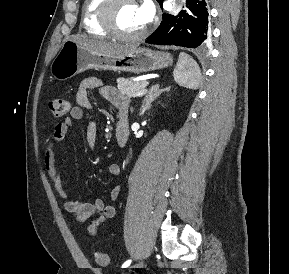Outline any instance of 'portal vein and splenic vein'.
I'll return each mask as SVG.
<instances>
[{"label":"portal vein and splenic vein","mask_w":289,"mask_h":274,"mask_svg":"<svg viewBox=\"0 0 289 274\" xmlns=\"http://www.w3.org/2000/svg\"><path fill=\"white\" fill-rule=\"evenodd\" d=\"M146 92H147L146 89L141 90V91H139V92L136 94V96H143ZM136 96H135V97H136Z\"/></svg>","instance_id":"18ae733b"}]
</instances>
